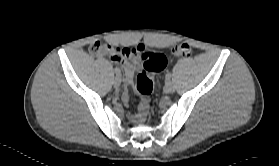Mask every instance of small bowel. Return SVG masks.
<instances>
[{
	"instance_id": "obj_1",
	"label": "small bowel",
	"mask_w": 279,
	"mask_h": 166,
	"mask_svg": "<svg viewBox=\"0 0 279 166\" xmlns=\"http://www.w3.org/2000/svg\"><path fill=\"white\" fill-rule=\"evenodd\" d=\"M114 46L112 45H106V49L100 54V55H105V54H109L112 59L121 64L123 66V69L125 71L126 74V84L130 85L133 81V77L135 75V73L137 72V70L140 67V63L138 62L137 58H136V54L139 51H142L145 49L144 45H139L137 47H133L131 48V54L128 56L129 59H127L124 56L118 55L115 51H114ZM166 59V57H165ZM167 65V59H166V63H165V67ZM164 67V68H165ZM122 99L125 103L128 102L129 100V95L127 90L123 93L122 95Z\"/></svg>"
}]
</instances>
